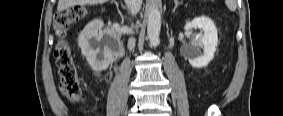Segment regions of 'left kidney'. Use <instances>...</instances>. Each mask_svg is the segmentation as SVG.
I'll list each match as a JSON object with an SVG mask.
<instances>
[{
	"mask_svg": "<svg viewBox=\"0 0 283 116\" xmlns=\"http://www.w3.org/2000/svg\"><path fill=\"white\" fill-rule=\"evenodd\" d=\"M192 28L202 30L203 34L193 38L187 47L185 57L193 67H205L214 58L216 52L218 43L217 29L213 21L206 16L196 17L184 26L185 30Z\"/></svg>",
	"mask_w": 283,
	"mask_h": 116,
	"instance_id": "obj_1",
	"label": "left kidney"
}]
</instances>
